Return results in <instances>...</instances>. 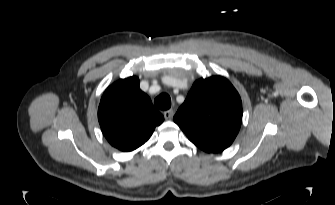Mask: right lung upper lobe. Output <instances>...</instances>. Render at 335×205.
<instances>
[{
	"label": "right lung upper lobe",
	"instance_id": "cb5924a9",
	"mask_svg": "<svg viewBox=\"0 0 335 205\" xmlns=\"http://www.w3.org/2000/svg\"><path fill=\"white\" fill-rule=\"evenodd\" d=\"M98 120L109 143L127 152L144 144L164 117L140 90L139 79L132 76L106 89L98 108Z\"/></svg>",
	"mask_w": 335,
	"mask_h": 205
}]
</instances>
